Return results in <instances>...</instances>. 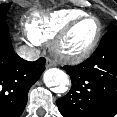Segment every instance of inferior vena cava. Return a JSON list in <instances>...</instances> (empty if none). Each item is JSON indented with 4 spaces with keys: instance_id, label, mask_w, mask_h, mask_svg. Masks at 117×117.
Segmentation results:
<instances>
[{
    "instance_id": "obj_1",
    "label": "inferior vena cava",
    "mask_w": 117,
    "mask_h": 117,
    "mask_svg": "<svg viewBox=\"0 0 117 117\" xmlns=\"http://www.w3.org/2000/svg\"><path fill=\"white\" fill-rule=\"evenodd\" d=\"M17 54L28 61H35L39 58L40 52L37 49L21 46L17 49Z\"/></svg>"
}]
</instances>
